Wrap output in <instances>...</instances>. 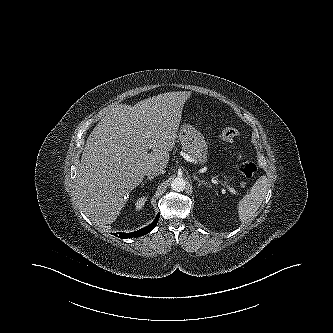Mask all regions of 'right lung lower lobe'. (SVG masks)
<instances>
[{
    "instance_id": "right-lung-lower-lobe-1",
    "label": "right lung lower lobe",
    "mask_w": 333,
    "mask_h": 333,
    "mask_svg": "<svg viewBox=\"0 0 333 333\" xmlns=\"http://www.w3.org/2000/svg\"><path fill=\"white\" fill-rule=\"evenodd\" d=\"M158 222V217L148 226L138 230V231H135V232H131V233H119L118 235L117 234H113L119 238H132V237H139V236H143L147 233H149L151 230H153V228L156 226Z\"/></svg>"
}]
</instances>
